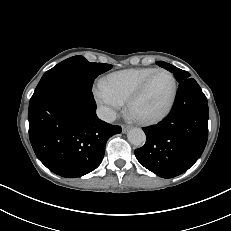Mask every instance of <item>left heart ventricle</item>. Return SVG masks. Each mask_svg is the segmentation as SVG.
<instances>
[{"instance_id": "1", "label": "left heart ventricle", "mask_w": 231, "mask_h": 231, "mask_svg": "<svg viewBox=\"0 0 231 231\" xmlns=\"http://www.w3.org/2000/svg\"><path fill=\"white\" fill-rule=\"evenodd\" d=\"M172 88V80L167 74H157L145 94L134 104L133 114L138 117H150L160 113L171 98Z\"/></svg>"}]
</instances>
